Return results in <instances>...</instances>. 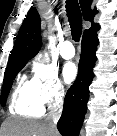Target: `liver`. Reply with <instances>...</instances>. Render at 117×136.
Instances as JSON below:
<instances>
[{"label": "liver", "mask_w": 117, "mask_h": 136, "mask_svg": "<svg viewBox=\"0 0 117 136\" xmlns=\"http://www.w3.org/2000/svg\"><path fill=\"white\" fill-rule=\"evenodd\" d=\"M2 131V136H58L57 131H49L46 122L21 118L6 119L2 124Z\"/></svg>", "instance_id": "1"}]
</instances>
